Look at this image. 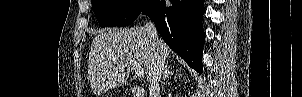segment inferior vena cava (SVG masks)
I'll use <instances>...</instances> for the list:
<instances>
[{"instance_id":"obj_1","label":"inferior vena cava","mask_w":302,"mask_h":97,"mask_svg":"<svg viewBox=\"0 0 302 97\" xmlns=\"http://www.w3.org/2000/svg\"><path fill=\"white\" fill-rule=\"evenodd\" d=\"M146 30L150 36L153 46L155 48V63L153 64L150 78H149V94L150 97H158L159 95V82L164 70L165 56L163 52L162 41L158 37L157 29L153 22L149 21L146 24Z\"/></svg>"}]
</instances>
